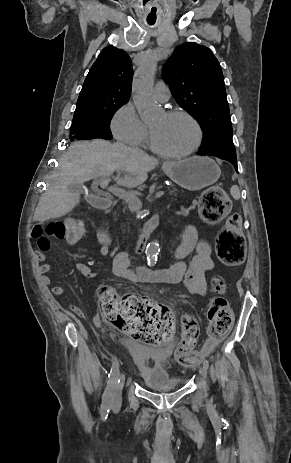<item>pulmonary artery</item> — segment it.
<instances>
[{
  "mask_svg": "<svg viewBox=\"0 0 291 463\" xmlns=\"http://www.w3.org/2000/svg\"><path fill=\"white\" fill-rule=\"evenodd\" d=\"M154 96L159 102H166L170 98V90L163 81H158L155 84Z\"/></svg>",
  "mask_w": 291,
  "mask_h": 463,
  "instance_id": "1",
  "label": "pulmonary artery"
}]
</instances>
